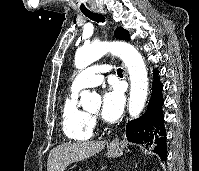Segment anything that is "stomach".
I'll use <instances>...</instances> for the list:
<instances>
[{"label": "stomach", "instance_id": "obj_1", "mask_svg": "<svg viewBox=\"0 0 199 171\" xmlns=\"http://www.w3.org/2000/svg\"><path fill=\"white\" fill-rule=\"evenodd\" d=\"M123 154V148L119 144H110L108 145V151H107V156L108 157H119Z\"/></svg>", "mask_w": 199, "mask_h": 171}]
</instances>
